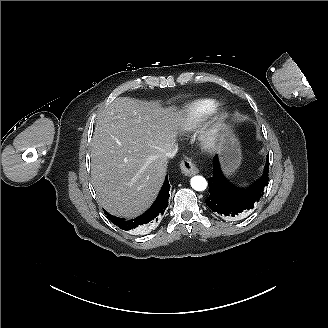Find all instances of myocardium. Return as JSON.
I'll return each mask as SVG.
<instances>
[{
	"mask_svg": "<svg viewBox=\"0 0 328 328\" xmlns=\"http://www.w3.org/2000/svg\"><path fill=\"white\" fill-rule=\"evenodd\" d=\"M229 114L224 105L215 102L202 116L195 136L200 148L208 153L216 151L227 129Z\"/></svg>",
	"mask_w": 328,
	"mask_h": 328,
	"instance_id": "obj_1",
	"label": "myocardium"
}]
</instances>
